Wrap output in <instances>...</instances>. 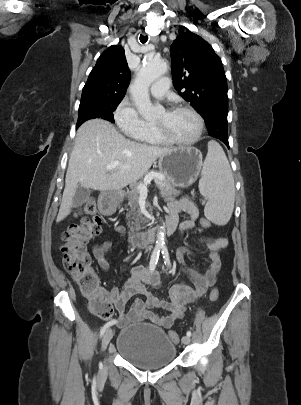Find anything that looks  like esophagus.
<instances>
[{
  "instance_id": "esophagus-1",
  "label": "esophagus",
  "mask_w": 301,
  "mask_h": 405,
  "mask_svg": "<svg viewBox=\"0 0 301 405\" xmlns=\"http://www.w3.org/2000/svg\"><path fill=\"white\" fill-rule=\"evenodd\" d=\"M150 39H151L152 41H154V42H155V41H158V37H157V36H151Z\"/></svg>"
}]
</instances>
